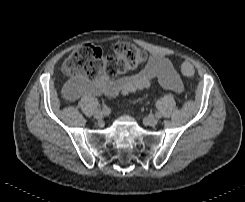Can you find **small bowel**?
Wrapping results in <instances>:
<instances>
[{"label": "small bowel", "instance_id": "c3829d8e", "mask_svg": "<svg viewBox=\"0 0 245 202\" xmlns=\"http://www.w3.org/2000/svg\"><path fill=\"white\" fill-rule=\"evenodd\" d=\"M184 63L186 61L181 65ZM154 81L174 92L184 90V84L172 64L161 55H153L140 71L120 80H110L104 75L95 79H76L73 90L67 96V101L77 103L83 98L101 94L116 97L148 88Z\"/></svg>", "mask_w": 245, "mask_h": 202}]
</instances>
